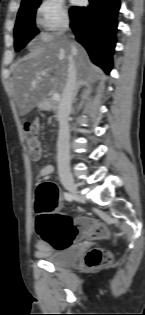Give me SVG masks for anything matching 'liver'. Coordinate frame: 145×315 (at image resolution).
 <instances>
[{"instance_id":"liver-1","label":"liver","mask_w":145,"mask_h":315,"mask_svg":"<svg viewBox=\"0 0 145 315\" xmlns=\"http://www.w3.org/2000/svg\"><path fill=\"white\" fill-rule=\"evenodd\" d=\"M29 53L14 68L11 94L21 116L40 105L49 94L62 93L66 84L69 58L79 77L100 73L86 51L67 36H41L28 44ZM47 72L46 76H39Z\"/></svg>"}]
</instances>
